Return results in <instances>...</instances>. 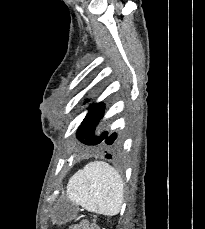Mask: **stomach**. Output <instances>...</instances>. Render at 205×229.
Returning <instances> with one entry per match:
<instances>
[{
	"instance_id": "stomach-1",
	"label": "stomach",
	"mask_w": 205,
	"mask_h": 229,
	"mask_svg": "<svg viewBox=\"0 0 205 229\" xmlns=\"http://www.w3.org/2000/svg\"><path fill=\"white\" fill-rule=\"evenodd\" d=\"M72 207L69 205H58L53 214L52 219L56 224H64L72 218Z\"/></svg>"
}]
</instances>
